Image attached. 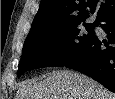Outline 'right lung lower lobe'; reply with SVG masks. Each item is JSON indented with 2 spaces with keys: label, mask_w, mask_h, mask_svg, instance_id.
Masks as SVG:
<instances>
[{
  "label": "right lung lower lobe",
  "mask_w": 115,
  "mask_h": 99,
  "mask_svg": "<svg viewBox=\"0 0 115 99\" xmlns=\"http://www.w3.org/2000/svg\"><path fill=\"white\" fill-rule=\"evenodd\" d=\"M98 25L107 34L108 41L95 36L65 67L84 73L115 93V12L107 15Z\"/></svg>",
  "instance_id": "obj_1"
}]
</instances>
